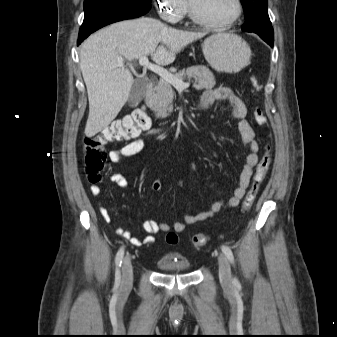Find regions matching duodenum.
<instances>
[{
    "label": "duodenum",
    "instance_id": "410a0bca",
    "mask_svg": "<svg viewBox=\"0 0 337 337\" xmlns=\"http://www.w3.org/2000/svg\"><path fill=\"white\" fill-rule=\"evenodd\" d=\"M154 79L153 77H149L146 81V89H145V94H144V102L147 104L150 96V92L152 90ZM145 115L144 111L142 110H136L133 113V116L137 119L138 116H143ZM143 129H150L149 126L143 127ZM162 129H154V131H161Z\"/></svg>",
    "mask_w": 337,
    "mask_h": 337
}]
</instances>
